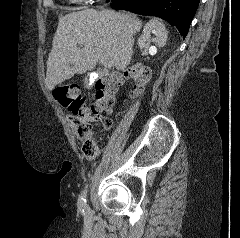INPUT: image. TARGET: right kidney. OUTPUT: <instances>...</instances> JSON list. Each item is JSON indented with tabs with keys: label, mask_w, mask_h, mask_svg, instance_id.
I'll return each mask as SVG.
<instances>
[{
	"label": "right kidney",
	"mask_w": 240,
	"mask_h": 238,
	"mask_svg": "<svg viewBox=\"0 0 240 238\" xmlns=\"http://www.w3.org/2000/svg\"><path fill=\"white\" fill-rule=\"evenodd\" d=\"M151 33L155 35L154 38H151ZM150 40L160 47L165 46L167 42V31L165 25L157 19H151L147 22L142 35L138 39V46L142 49L146 47V42ZM149 51L156 52L157 50L155 47H152Z\"/></svg>",
	"instance_id": "right-kidney-1"
}]
</instances>
